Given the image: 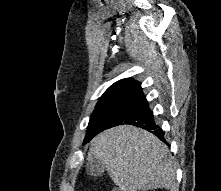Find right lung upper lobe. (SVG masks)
Here are the masks:
<instances>
[{
    "instance_id": "1",
    "label": "right lung upper lobe",
    "mask_w": 221,
    "mask_h": 191,
    "mask_svg": "<svg viewBox=\"0 0 221 191\" xmlns=\"http://www.w3.org/2000/svg\"><path fill=\"white\" fill-rule=\"evenodd\" d=\"M140 86L137 81H134L131 78L122 79L113 85H111L106 92L99 99L98 104L107 103L110 101H119L122 99L127 93Z\"/></svg>"
}]
</instances>
